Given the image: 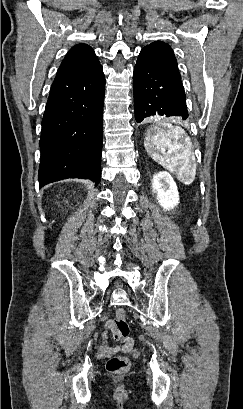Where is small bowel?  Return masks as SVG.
Listing matches in <instances>:
<instances>
[{
  "label": "small bowel",
  "mask_w": 243,
  "mask_h": 409,
  "mask_svg": "<svg viewBox=\"0 0 243 409\" xmlns=\"http://www.w3.org/2000/svg\"><path fill=\"white\" fill-rule=\"evenodd\" d=\"M113 326H114L113 325V320H108L105 323V330H104V332L102 334V340H101V343H102L101 352L104 355H111V354L121 352V351L127 352V351H129L131 349L130 347L126 346L125 344H118V345H115V346L109 345L108 334H109L110 331L113 332ZM114 338L117 339L115 336H114Z\"/></svg>",
  "instance_id": "obj_1"
}]
</instances>
